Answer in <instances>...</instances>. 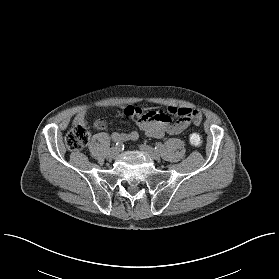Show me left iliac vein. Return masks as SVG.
I'll return each instance as SVG.
<instances>
[{
    "mask_svg": "<svg viewBox=\"0 0 279 279\" xmlns=\"http://www.w3.org/2000/svg\"><path fill=\"white\" fill-rule=\"evenodd\" d=\"M139 148L143 153L147 154L152 159H154V160L160 159V154L156 150H154L152 147L143 144V145H140Z\"/></svg>",
    "mask_w": 279,
    "mask_h": 279,
    "instance_id": "obj_1",
    "label": "left iliac vein"
}]
</instances>
